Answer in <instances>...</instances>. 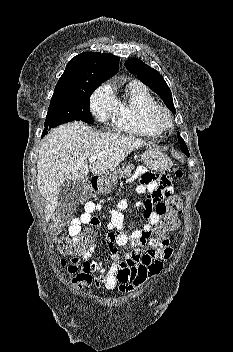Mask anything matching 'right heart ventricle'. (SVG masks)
<instances>
[{"label": "right heart ventricle", "mask_w": 233, "mask_h": 352, "mask_svg": "<svg viewBox=\"0 0 233 352\" xmlns=\"http://www.w3.org/2000/svg\"><path fill=\"white\" fill-rule=\"evenodd\" d=\"M158 103L150 91L138 82L126 87L125 98L118 101L116 128L118 131L141 137H154L161 133L147 122L148 112Z\"/></svg>", "instance_id": "e07e8e85"}]
</instances>
